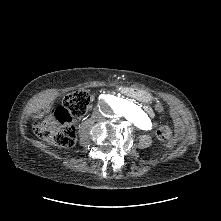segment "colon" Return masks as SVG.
Listing matches in <instances>:
<instances>
[{"label": "colon", "instance_id": "colon-1", "mask_svg": "<svg viewBox=\"0 0 221 221\" xmlns=\"http://www.w3.org/2000/svg\"><path fill=\"white\" fill-rule=\"evenodd\" d=\"M90 103V95L87 91L68 93L63 98L62 106L55 109L53 116H48L34 123V131L41 138H51L59 147H72L76 140V130L72 123L73 118L82 116ZM159 108L160 106L157 105ZM157 137L161 141H168L173 147L177 140L172 137L169 126H161L157 130Z\"/></svg>", "mask_w": 221, "mask_h": 221}]
</instances>
